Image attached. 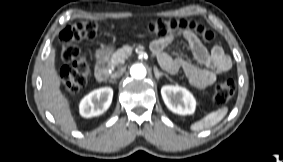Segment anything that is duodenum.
Listing matches in <instances>:
<instances>
[{
	"label": "duodenum",
	"instance_id": "410a0bca",
	"mask_svg": "<svg viewBox=\"0 0 283 162\" xmlns=\"http://www.w3.org/2000/svg\"><path fill=\"white\" fill-rule=\"evenodd\" d=\"M109 53L101 50L97 54V63L95 67V77L97 81L104 82L109 77Z\"/></svg>",
	"mask_w": 283,
	"mask_h": 162
}]
</instances>
